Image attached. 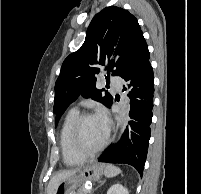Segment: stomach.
<instances>
[{
	"label": "stomach",
	"mask_w": 201,
	"mask_h": 194,
	"mask_svg": "<svg viewBox=\"0 0 201 194\" xmlns=\"http://www.w3.org/2000/svg\"><path fill=\"white\" fill-rule=\"evenodd\" d=\"M105 166L92 163L83 167L77 175L62 180L53 194H75L81 184L98 181L105 172Z\"/></svg>",
	"instance_id": "stomach-1"
}]
</instances>
